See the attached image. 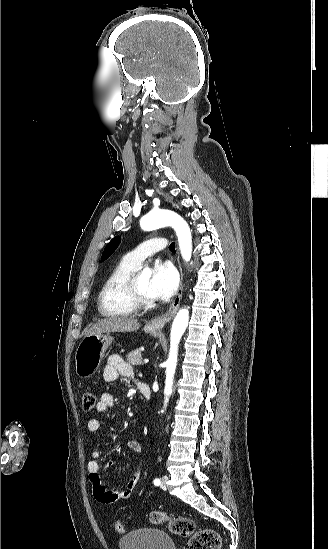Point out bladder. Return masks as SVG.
Listing matches in <instances>:
<instances>
[{"instance_id":"31cf9c89","label":"bladder","mask_w":328,"mask_h":549,"mask_svg":"<svg viewBox=\"0 0 328 549\" xmlns=\"http://www.w3.org/2000/svg\"><path fill=\"white\" fill-rule=\"evenodd\" d=\"M131 533L121 536L120 549H174L171 536L157 528L144 527Z\"/></svg>"}]
</instances>
